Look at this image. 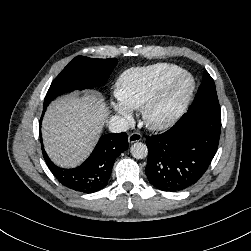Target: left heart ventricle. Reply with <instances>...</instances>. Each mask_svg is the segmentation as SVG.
<instances>
[{"label":"left heart ventricle","mask_w":251,"mask_h":251,"mask_svg":"<svg viewBox=\"0 0 251 251\" xmlns=\"http://www.w3.org/2000/svg\"><path fill=\"white\" fill-rule=\"evenodd\" d=\"M185 85L186 82L183 83V85L174 93V95L158 110V116H161L166 113L174 105Z\"/></svg>","instance_id":"b2bd125f"}]
</instances>
